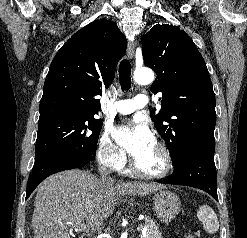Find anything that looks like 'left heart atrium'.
Here are the masks:
<instances>
[{
	"instance_id": "obj_1",
	"label": "left heart atrium",
	"mask_w": 247,
	"mask_h": 238,
	"mask_svg": "<svg viewBox=\"0 0 247 238\" xmlns=\"http://www.w3.org/2000/svg\"><path fill=\"white\" fill-rule=\"evenodd\" d=\"M114 137L119 145L133 158H137L155 144L151 130L140 119H135L128 124L118 127L114 131Z\"/></svg>"
}]
</instances>
